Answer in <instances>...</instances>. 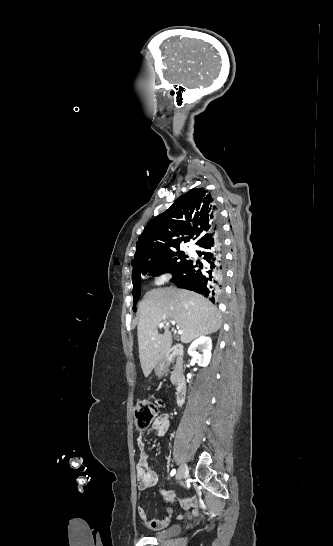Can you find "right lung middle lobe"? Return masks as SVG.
<instances>
[{
	"label": "right lung middle lobe",
	"instance_id": "right-lung-middle-lobe-1",
	"mask_svg": "<svg viewBox=\"0 0 333 546\" xmlns=\"http://www.w3.org/2000/svg\"><path fill=\"white\" fill-rule=\"evenodd\" d=\"M188 256L183 252H180L179 249L172 250L167 252L162 256L159 261V264L149 270L141 271L132 276L133 280V298H134V307L138 298L140 297V286L139 281L142 275H153L158 276L165 272H170L173 275L188 261ZM133 307V309H134Z\"/></svg>",
	"mask_w": 333,
	"mask_h": 546
}]
</instances>
